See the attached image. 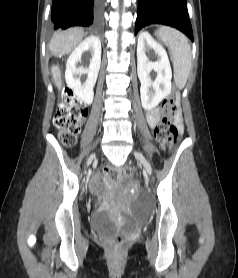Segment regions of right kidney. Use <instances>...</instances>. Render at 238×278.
Segmentation results:
<instances>
[{
  "mask_svg": "<svg viewBox=\"0 0 238 278\" xmlns=\"http://www.w3.org/2000/svg\"><path fill=\"white\" fill-rule=\"evenodd\" d=\"M92 51V59L88 69L76 67L81 61L82 54ZM101 64V42L98 37L90 36L81 42L71 53L66 63L65 79L67 85L75 92V94L86 104H91L94 98L93 88L96 83L98 72ZM87 73V80L84 84L76 75Z\"/></svg>",
  "mask_w": 238,
  "mask_h": 278,
  "instance_id": "ca27d5eb",
  "label": "right kidney"
}]
</instances>
